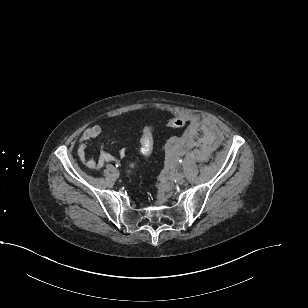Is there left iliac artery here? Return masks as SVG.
<instances>
[{
	"instance_id": "1",
	"label": "left iliac artery",
	"mask_w": 308,
	"mask_h": 308,
	"mask_svg": "<svg viewBox=\"0 0 308 308\" xmlns=\"http://www.w3.org/2000/svg\"><path fill=\"white\" fill-rule=\"evenodd\" d=\"M179 162L181 163V162H182V160L180 159V160H179Z\"/></svg>"
}]
</instances>
